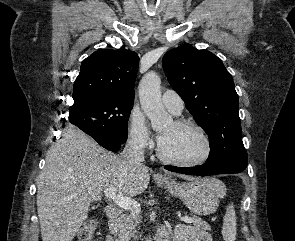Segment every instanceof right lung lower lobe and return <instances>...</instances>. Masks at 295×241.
Segmentation results:
<instances>
[{
	"label": "right lung lower lobe",
	"instance_id": "98d812e1",
	"mask_svg": "<svg viewBox=\"0 0 295 241\" xmlns=\"http://www.w3.org/2000/svg\"><path fill=\"white\" fill-rule=\"evenodd\" d=\"M101 146H103L104 148L110 150V151H117L119 150L120 146H121V143H111V142H108V141H105V140H102L100 138H96V137H93Z\"/></svg>",
	"mask_w": 295,
	"mask_h": 241
}]
</instances>
